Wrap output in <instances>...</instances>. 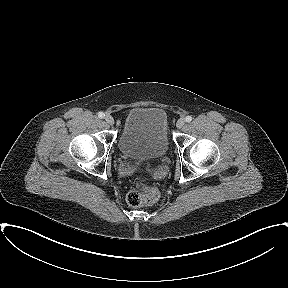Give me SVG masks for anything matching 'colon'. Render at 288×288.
I'll list each match as a JSON object with an SVG mask.
<instances>
[{
	"instance_id": "1",
	"label": "colon",
	"mask_w": 288,
	"mask_h": 288,
	"mask_svg": "<svg viewBox=\"0 0 288 288\" xmlns=\"http://www.w3.org/2000/svg\"><path fill=\"white\" fill-rule=\"evenodd\" d=\"M158 199V191L154 187L139 183L136 189L127 194L126 201L132 207L150 204Z\"/></svg>"
}]
</instances>
